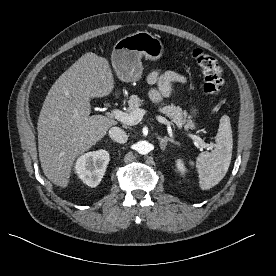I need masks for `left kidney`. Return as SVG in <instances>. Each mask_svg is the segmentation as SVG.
Here are the masks:
<instances>
[{"mask_svg": "<svg viewBox=\"0 0 276 276\" xmlns=\"http://www.w3.org/2000/svg\"><path fill=\"white\" fill-rule=\"evenodd\" d=\"M176 166L177 169L181 172V173H185L186 172V167L184 165V162L182 161V159H177L176 160Z\"/></svg>", "mask_w": 276, "mask_h": 276, "instance_id": "obj_1", "label": "left kidney"}]
</instances>
